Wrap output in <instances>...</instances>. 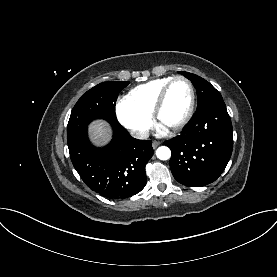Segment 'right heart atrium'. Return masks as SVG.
Here are the masks:
<instances>
[{"mask_svg": "<svg viewBox=\"0 0 277 277\" xmlns=\"http://www.w3.org/2000/svg\"><path fill=\"white\" fill-rule=\"evenodd\" d=\"M116 115L121 125L137 139L145 138L152 126L151 116L138 110L126 97L117 102Z\"/></svg>", "mask_w": 277, "mask_h": 277, "instance_id": "d8ad5b80", "label": "right heart atrium"}]
</instances>
